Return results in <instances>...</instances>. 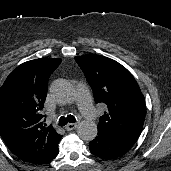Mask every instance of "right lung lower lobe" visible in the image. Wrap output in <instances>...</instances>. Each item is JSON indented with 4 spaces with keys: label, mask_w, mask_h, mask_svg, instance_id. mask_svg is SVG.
<instances>
[{
    "label": "right lung lower lobe",
    "mask_w": 171,
    "mask_h": 171,
    "mask_svg": "<svg viewBox=\"0 0 171 171\" xmlns=\"http://www.w3.org/2000/svg\"><path fill=\"white\" fill-rule=\"evenodd\" d=\"M58 154V147L52 152V154L44 161L42 162L41 164H45L49 161H51L52 159H54Z\"/></svg>",
    "instance_id": "obj_1"
}]
</instances>
